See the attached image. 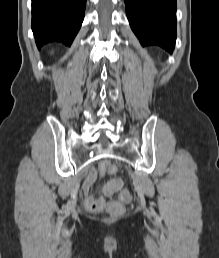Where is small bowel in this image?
<instances>
[{
	"label": "small bowel",
	"instance_id": "small-bowel-1",
	"mask_svg": "<svg viewBox=\"0 0 219 258\" xmlns=\"http://www.w3.org/2000/svg\"><path fill=\"white\" fill-rule=\"evenodd\" d=\"M94 179H95V172H92L86 182V187H88L94 181ZM124 183H125L124 179H110V184H113V185H111L108 188V190L118 189L120 187V184H124Z\"/></svg>",
	"mask_w": 219,
	"mask_h": 258
}]
</instances>
